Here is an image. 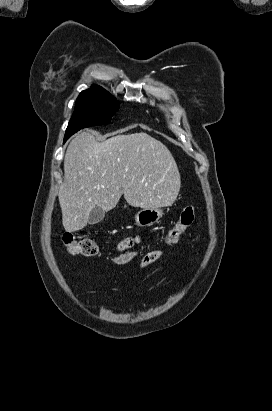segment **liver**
Here are the masks:
<instances>
[{"instance_id":"obj_1","label":"liver","mask_w":272,"mask_h":411,"mask_svg":"<svg viewBox=\"0 0 272 411\" xmlns=\"http://www.w3.org/2000/svg\"><path fill=\"white\" fill-rule=\"evenodd\" d=\"M181 186L177 164L168 148L146 133L116 135L98 142L82 132L64 156V182L58 198L67 232L83 229L91 210L116 207L122 195L142 209L170 206Z\"/></svg>"}]
</instances>
